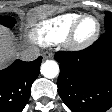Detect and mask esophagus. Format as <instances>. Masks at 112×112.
<instances>
[{"instance_id": "obj_1", "label": "esophagus", "mask_w": 112, "mask_h": 112, "mask_svg": "<svg viewBox=\"0 0 112 112\" xmlns=\"http://www.w3.org/2000/svg\"><path fill=\"white\" fill-rule=\"evenodd\" d=\"M43 57H44V59H51V58H53V54L50 52H46V53H44Z\"/></svg>"}]
</instances>
